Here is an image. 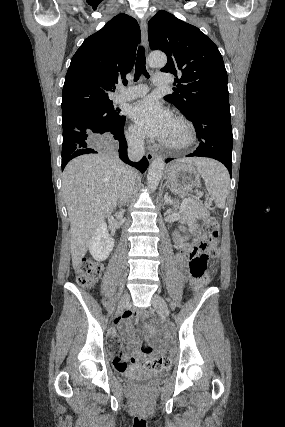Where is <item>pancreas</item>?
<instances>
[{
    "mask_svg": "<svg viewBox=\"0 0 285 427\" xmlns=\"http://www.w3.org/2000/svg\"><path fill=\"white\" fill-rule=\"evenodd\" d=\"M184 212L195 215L198 218H205L209 216L208 210L203 206L202 202L197 200L189 201L186 208L184 209Z\"/></svg>",
    "mask_w": 285,
    "mask_h": 427,
    "instance_id": "obj_1",
    "label": "pancreas"
}]
</instances>
